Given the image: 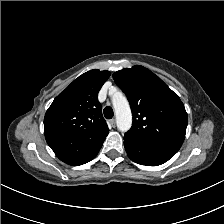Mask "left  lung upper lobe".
Wrapping results in <instances>:
<instances>
[{
  "instance_id": "obj_1",
  "label": "left lung upper lobe",
  "mask_w": 224,
  "mask_h": 224,
  "mask_svg": "<svg viewBox=\"0 0 224 224\" xmlns=\"http://www.w3.org/2000/svg\"><path fill=\"white\" fill-rule=\"evenodd\" d=\"M113 78L126 94L132 110L133 124L126 135L178 151L188 123L180 98L143 66L122 69Z\"/></svg>"
}]
</instances>
